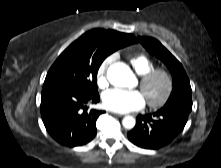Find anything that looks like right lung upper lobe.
I'll use <instances>...</instances> for the list:
<instances>
[{
	"mask_svg": "<svg viewBox=\"0 0 221 168\" xmlns=\"http://www.w3.org/2000/svg\"><path fill=\"white\" fill-rule=\"evenodd\" d=\"M84 35L94 37L101 43L120 46V48L137 42L132 34L120 33L114 30L93 29Z\"/></svg>",
	"mask_w": 221,
	"mask_h": 168,
	"instance_id": "1",
	"label": "right lung upper lobe"
}]
</instances>
